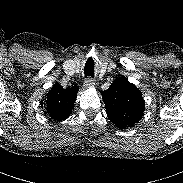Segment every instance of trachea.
<instances>
[{
  "label": "trachea",
  "mask_w": 183,
  "mask_h": 183,
  "mask_svg": "<svg viewBox=\"0 0 183 183\" xmlns=\"http://www.w3.org/2000/svg\"><path fill=\"white\" fill-rule=\"evenodd\" d=\"M85 77H93L94 76V60L90 57L84 67Z\"/></svg>",
  "instance_id": "trachea-1"
}]
</instances>
